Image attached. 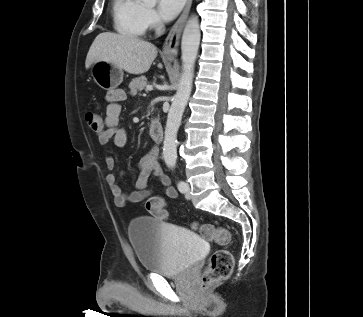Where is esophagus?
<instances>
[{"label": "esophagus", "mask_w": 363, "mask_h": 317, "mask_svg": "<svg viewBox=\"0 0 363 317\" xmlns=\"http://www.w3.org/2000/svg\"><path fill=\"white\" fill-rule=\"evenodd\" d=\"M191 5H192V0H187L182 14L175 22V24L172 26L167 38L165 39L162 54L167 58H174L177 56L180 37L185 22L187 20Z\"/></svg>", "instance_id": "34e87169"}]
</instances>
